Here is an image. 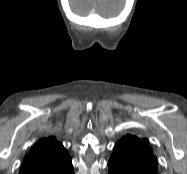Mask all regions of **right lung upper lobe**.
I'll return each mask as SVG.
<instances>
[{
	"instance_id": "obj_1",
	"label": "right lung upper lobe",
	"mask_w": 187,
	"mask_h": 174,
	"mask_svg": "<svg viewBox=\"0 0 187 174\" xmlns=\"http://www.w3.org/2000/svg\"><path fill=\"white\" fill-rule=\"evenodd\" d=\"M73 170L61 143L49 137L39 140L25 156L20 174H67Z\"/></svg>"
}]
</instances>
